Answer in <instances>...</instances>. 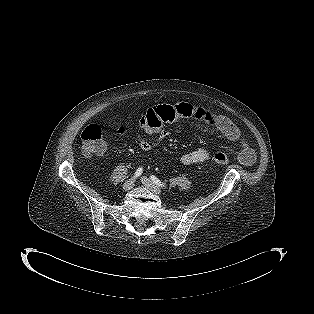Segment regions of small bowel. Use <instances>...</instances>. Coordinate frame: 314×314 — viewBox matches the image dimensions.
Wrapping results in <instances>:
<instances>
[{
	"instance_id": "1",
	"label": "small bowel",
	"mask_w": 314,
	"mask_h": 314,
	"mask_svg": "<svg viewBox=\"0 0 314 314\" xmlns=\"http://www.w3.org/2000/svg\"><path fill=\"white\" fill-rule=\"evenodd\" d=\"M203 122L216 130L231 142H238L240 146L239 162L245 166H251L255 161V153L243 137L237 125L227 116L210 111L208 109L192 106L185 101H173L171 103L152 104L144 112L139 120V146L143 151H150L161 141L166 139L170 132L163 128L164 125H179L190 119ZM155 134L156 140L151 142L145 139V135ZM211 159L208 150L200 148L186 152L181 156V163L194 165Z\"/></svg>"
}]
</instances>
